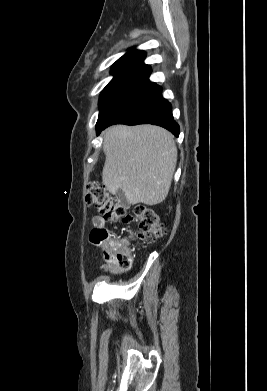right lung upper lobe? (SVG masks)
<instances>
[{"mask_svg":"<svg viewBox=\"0 0 267 391\" xmlns=\"http://www.w3.org/2000/svg\"><path fill=\"white\" fill-rule=\"evenodd\" d=\"M145 56L143 51L130 49L113 64L111 73L115 76L149 77L151 68L144 64Z\"/></svg>","mask_w":267,"mask_h":391,"instance_id":"obj_1","label":"right lung upper lobe"}]
</instances>
